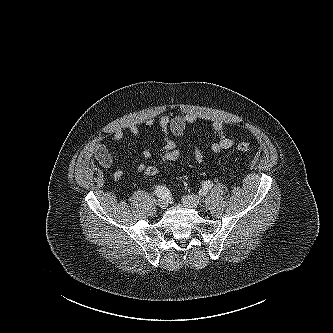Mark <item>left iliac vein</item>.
I'll use <instances>...</instances> for the list:
<instances>
[{
	"label": "left iliac vein",
	"instance_id": "1",
	"mask_svg": "<svg viewBox=\"0 0 333 333\" xmlns=\"http://www.w3.org/2000/svg\"><path fill=\"white\" fill-rule=\"evenodd\" d=\"M182 202L191 207H198L201 203V199L196 195H187L182 198Z\"/></svg>",
	"mask_w": 333,
	"mask_h": 333
}]
</instances>
